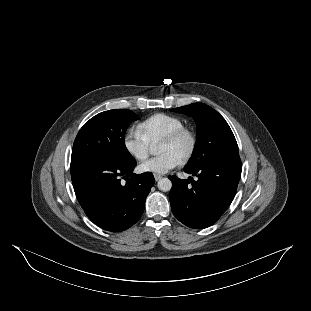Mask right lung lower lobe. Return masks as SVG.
<instances>
[{
	"instance_id": "right-lung-lower-lobe-1",
	"label": "right lung lower lobe",
	"mask_w": 311,
	"mask_h": 311,
	"mask_svg": "<svg viewBox=\"0 0 311 311\" xmlns=\"http://www.w3.org/2000/svg\"><path fill=\"white\" fill-rule=\"evenodd\" d=\"M135 166V160L125 164L99 157L71 163L77 199L88 218L99 227L120 232L140 219L155 179L150 172L132 173ZM123 175L127 178L125 185L119 179Z\"/></svg>"
}]
</instances>
